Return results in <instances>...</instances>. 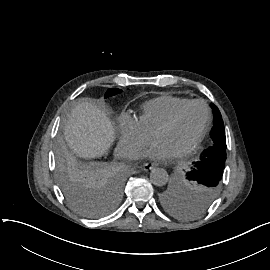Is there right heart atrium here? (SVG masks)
<instances>
[{"label": "right heart atrium", "instance_id": "1", "mask_svg": "<svg viewBox=\"0 0 270 270\" xmlns=\"http://www.w3.org/2000/svg\"><path fill=\"white\" fill-rule=\"evenodd\" d=\"M118 133L119 141L124 139L133 141L137 145L139 152L144 149L151 137L150 134L140 128L135 119L127 115L120 118Z\"/></svg>", "mask_w": 270, "mask_h": 270}]
</instances>
